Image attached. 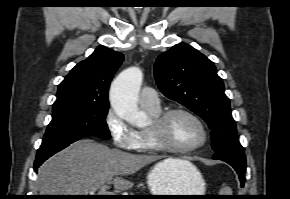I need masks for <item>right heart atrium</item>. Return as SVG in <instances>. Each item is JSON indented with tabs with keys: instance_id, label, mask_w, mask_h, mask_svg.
Masks as SVG:
<instances>
[{
	"instance_id": "1",
	"label": "right heart atrium",
	"mask_w": 290,
	"mask_h": 199,
	"mask_svg": "<svg viewBox=\"0 0 290 199\" xmlns=\"http://www.w3.org/2000/svg\"><path fill=\"white\" fill-rule=\"evenodd\" d=\"M114 145L122 150H135L137 131L125 122L114 109L110 108L105 118Z\"/></svg>"
}]
</instances>
